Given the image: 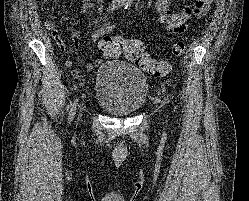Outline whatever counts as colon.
Listing matches in <instances>:
<instances>
[{"label":"colon","mask_w":249,"mask_h":201,"mask_svg":"<svg viewBox=\"0 0 249 201\" xmlns=\"http://www.w3.org/2000/svg\"><path fill=\"white\" fill-rule=\"evenodd\" d=\"M98 46L104 57L114 58L123 52L127 59L153 76H164L170 71L169 63L164 60L151 58L150 55L145 52L140 40L105 36L99 40ZM184 51L185 45L183 42H176L172 46V54L175 57L182 56Z\"/></svg>","instance_id":"1"}]
</instances>
